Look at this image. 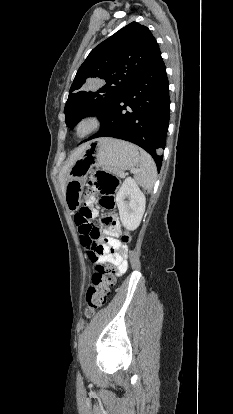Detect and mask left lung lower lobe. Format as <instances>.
I'll return each mask as SVG.
<instances>
[{
  "label": "left lung lower lobe",
  "instance_id": "obj_1",
  "mask_svg": "<svg viewBox=\"0 0 233 414\" xmlns=\"http://www.w3.org/2000/svg\"><path fill=\"white\" fill-rule=\"evenodd\" d=\"M169 83L161 53L124 91L111 110L100 119L101 129L87 140L114 137L132 142L162 163L169 125ZM86 141V140H85Z\"/></svg>",
  "mask_w": 233,
  "mask_h": 414
}]
</instances>
